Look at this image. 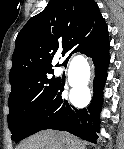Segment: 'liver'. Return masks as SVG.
Wrapping results in <instances>:
<instances>
[{"instance_id":"liver-1","label":"liver","mask_w":124,"mask_h":149,"mask_svg":"<svg viewBox=\"0 0 124 149\" xmlns=\"http://www.w3.org/2000/svg\"><path fill=\"white\" fill-rule=\"evenodd\" d=\"M19 149H84V146L67 133L42 131L25 140Z\"/></svg>"}]
</instances>
